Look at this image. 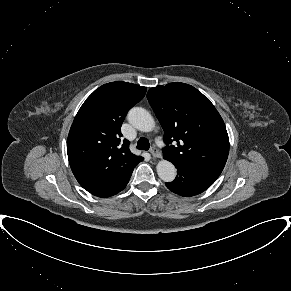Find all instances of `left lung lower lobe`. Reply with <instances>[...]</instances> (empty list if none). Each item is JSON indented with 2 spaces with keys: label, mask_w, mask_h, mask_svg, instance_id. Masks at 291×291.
<instances>
[{
  "label": "left lung lower lobe",
  "mask_w": 291,
  "mask_h": 291,
  "mask_svg": "<svg viewBox=\"0 0 291 291\" xmlns=\"http://www.w3.org/2000/svg\"><path fill=\"white\" fill-rule=\"evenodd\" d=\"M172 163L177 168V176L174 181L166 183V186L172 192L184 197L202 193L216 181L222 172L210 168Z\"/></svg>",
  "instance_id": "1"
}]
</instances>
